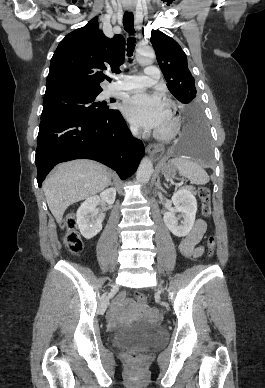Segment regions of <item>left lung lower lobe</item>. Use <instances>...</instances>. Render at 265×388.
I'll list each match as a JSON object with an SVG mask.
<instances>
[{
    "label": "left lung lower lobe",
    "instance_id": "0a47b994",
    "mask_svg": "<svg viewBox=\"0 0 265 388\" xmlns=\"http://www.w3.org/2000/svg\"><path fill=\"white\" fill-rule=\"evenodd\" d=\"M172 152L201 162H210L209 130L200 108L185 111L183 133Z\"/></svg>",
    "mask_w": 265,
    "mask_h": 388
}]
</instances>
